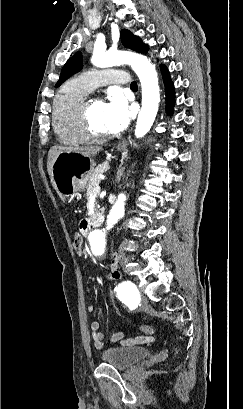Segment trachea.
<instances>
[{"instance_id":"trachea-1","label":"trachea","mask_w":243,"mask_h":409,"mask_svg":"<svg viewBox=\"0 0 243 409\" xmlns=\"http://www.w3.org/2000/svg\"><path fill=\"white\" fill-rule=\"evenodd\" d=\"M131 88H137V83L136 82H132L130 85Z\"/></svg>"}]
</instances>
